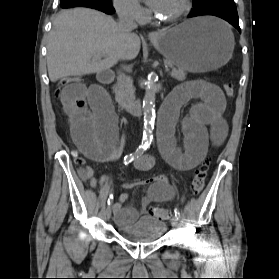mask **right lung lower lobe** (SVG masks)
I'll return each instance as SVG.
<instances>
[{
    "instance_id": "obj_1",
    "label": "right lung lower lobe",
    "mask_w": 279,
    "mask_h": 279,
    "mask_svg": "<svg viewBox=\"0 0 279 279\" xmlns=\"http://www.w3.org/2000/svg\"><path fill=\"white\" fill-rule=\"evenodd\" d=\"M60 6L62 8H72V7H89L103 11L107 14H112L115 12L112 4H107L101 0H61Z\"/></svg>"
}]
</instances>
